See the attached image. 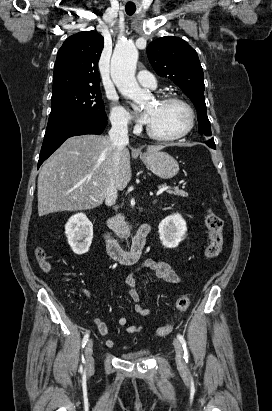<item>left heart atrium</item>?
I'll return each mask as SVG.
<instances>
[{
  "mask_svg": "<svg viewBox=\"0 0 272 411\" xmlns=\"http://www.w3.org/2000/svg\"><path fill=\"white\" fill-rule=\"evenodd\" d=\"M140 119H141V121H143V122H145V123H148V122H149V119H150V113H149L148 111H146L145 113H143V114L140 116Z\"/></svg>",
  "mask_w": 272,
  "mask_h": 411,
  "instance_id": "obj_1",
  "label": "left heart atrium"
}]
</instances>
